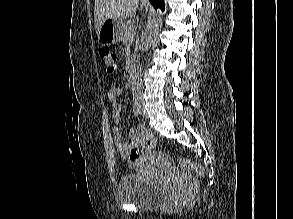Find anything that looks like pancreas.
<instances>
[{"mask_svg": "<svg viewBox=\"0 0 293 219\" xmlns=\"http://www.w3.org/2000/svg\"><path fill=\"white\" fill-rule=\"evenodd\" d=\"M135 37V30H134V21L129 20L124 25V33L122 35V41L126 43L128 46H132V41ZM137 51V47L135 46V52Z\"/></svg>", "mask_w": 293, "mask_h": 219, "instance_id": "pancreas-1", "label": "pancreas"}]
</instances>
